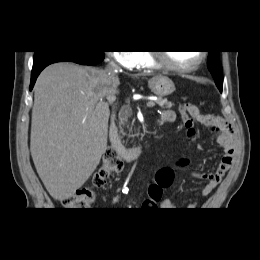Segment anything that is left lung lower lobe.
<instances>
[{
    "label": "left lung lower lobe",
    "instance_id": "left-lung-lower-lobe-1",
    "mask_svg": "<svg viewBox=\"0 0 260 260\" xmlns=\"http://www.w3.org/2000/svg\"><path fill=\"white\" fill-rule=\"evenodd\" d=\"M217 87L219 88L220 92H222V86H217Z\"/></svg>",
    "mask_w": 260,
    "mask_h": 260
}]
</instances>
